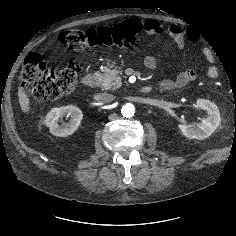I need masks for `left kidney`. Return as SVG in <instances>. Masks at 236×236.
Wrapping results in <instances>:
<instances>
[{"mask_svg": "<svg viewBox=\"0 0 236 236\" xmlns=\"http://www.w3.org/2000/svg\"><path fill=\"white\" fill-rule=\"evenodd\" d=\"M196 107L207 112V117L202 119L200 123L194 125L179 124L178 128L182 134L189 139L203 140L211 136L221 123L219 108L206 99H197Z\"/></svg>", "mask_w": 236, "mask_h": 236, "instance_id": "5707ae66", "label": "left kidney"}]
</instances>
